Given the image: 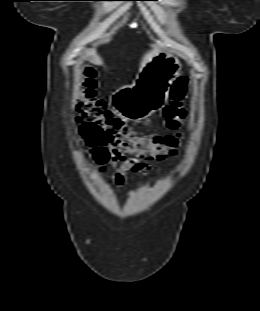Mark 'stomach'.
Returning <instances> with one entry per match:
<instances>
[{
  "label": "stomach",
  "mask_w": 260,
  "mask_h": 311,
  "mask_svg": "<svg viewBox=\"0 0 260 311\" xmlns=\"http://www.w3.org/2000/svg\"><path fill=\"white\" fill-rule=\"evenodd\" d=\"M181 70L178 57L159 52L140 70L132 85L122 86L112 94L113 108L131 121L149 117L166 103L170 86Z\"/></svg>",
  "instance_id": "1"
}]
</instances>
